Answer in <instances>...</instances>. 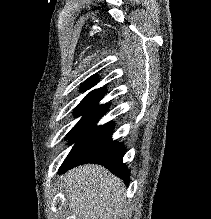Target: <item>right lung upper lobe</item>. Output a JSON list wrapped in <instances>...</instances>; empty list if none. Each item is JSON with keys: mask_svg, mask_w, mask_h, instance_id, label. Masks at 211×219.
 <instances>
[{"mask_svg": "<svg viewBox=\"0 0 211 219\" xmlns=\"http://www.w3.org/2000/svg\"><path fill=\"white\" fill-rule=\"evenodd\" d=\"M97 80H98V77L96 75L91 76L90 78H88L85 81L81 90L91 88L93 85H95L97 83ZM105 93H106L105 87L95 89V90L91 91L90 93H88L87 96L82 101L89 100V101L99 102L103 98Z\"/></svg>", "mask_w": 211, "mask_h": 219, "instance_id": "1", "label": "right lung upper lobe"}]
</instances>
